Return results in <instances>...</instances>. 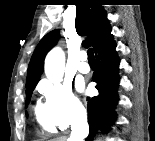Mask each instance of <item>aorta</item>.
Segmentation results:
<instances>
[{"label": "aorta", "instance_id": "obj_1", "mask_svg": "<svg viewBox=\"0 0 155 141\" xmlns=\"http://www.w3.org/2000/svg\"><path fill=\"white\" fill-rule=\"evenodd\" d=\"M65 67V55L61 48H53L45 59V74L51 81H60Z\"/></svg>", "mask_w": 155, "mask_h": 141}]
</instances>
